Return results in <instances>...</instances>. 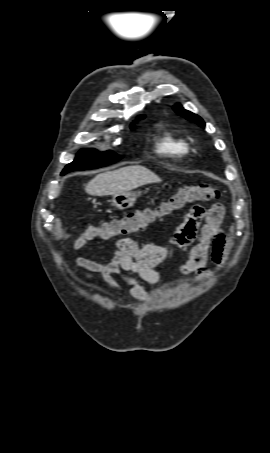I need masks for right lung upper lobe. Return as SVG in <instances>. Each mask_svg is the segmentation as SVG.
Returning a JSON list of instances; mask_svg holds the SVG:
<instances>
[{"mask_svg":"<svg viewBox=\"0 0 270 453\" xmlns=\"http://www.w3.org/2000/svg\"><path fill=\"white\" fill-rule=\"evenodd\" d=\"M141 118H143V116L138 117V119H141ZM132 126H133V125H132Z\"/></svg>","mask_w":270,"mask_h":453,"instance_id":"right-lung-upper-lobe-1","label":"right lung upper lobe"}]
</instances>
